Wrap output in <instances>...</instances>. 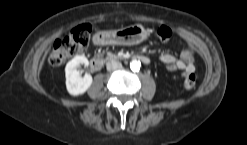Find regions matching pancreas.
<instances>
[{"mask_svg": "<svg viewBox=\"0 0 247 145\" xmlns=\"http://www.w3.org/2000/svg\"><path fill=\"white\" fill-rule=\"evenodd\" d=\"M117 59L118 58V56L117 55H115V54H112V53H109L108 54V57L106 58V61H108L109 59Z\"/></svg>", "mask_w": 247, "mask_h": 145, "instance_id": "cf45deb5", "label": "pancreas"}]
</instances>
